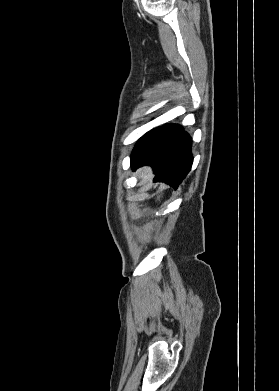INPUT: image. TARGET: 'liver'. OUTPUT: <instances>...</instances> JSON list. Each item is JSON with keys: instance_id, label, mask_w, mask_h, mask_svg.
Wrapping results in <instances>:
<instances>
[{"instance_id": "6515ba94", "label": "liver", "mask_w": 279, "mask_h": 391, "mask_svg": "<svg viewBox=\"0 0 279 391\" xmlns=\"http://www.w3.org/2000/svg\"><path fill=\"white\" fill-rule=\"evenodd\" d=\"M137 176L140 179V186L145 188L151 182L153 175L149 167H144L138 171Z\"/></svg>"}]
</instances>
